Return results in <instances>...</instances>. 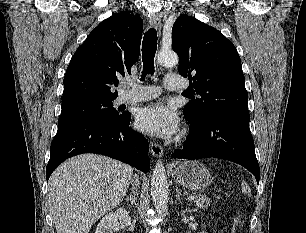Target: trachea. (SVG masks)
Segmentation results:
<instances>
[{
  "label": "trachea",
  "mask_w": 306,
  "mask_h": 233,
  "mask_svg": "<svg viewBox=\"0 0 306 233\" xmlns=\"http://www.w3.org/2000/svg\"><path fill=\"white\" fill-rule=\"evenodd\" d=\"M157 49V32L150 28L144 35L142 43L143 71L141 80L148 74H154V57Z\"/></svg>",
  "instance_id": "3493384b"
}]
</instances>
